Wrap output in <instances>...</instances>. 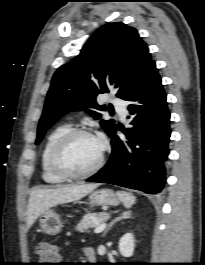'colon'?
<instances>
[{
    "mask_svg": "<svg viewBox=\"0 0 205 265\" xmlns=\"http://www.w3.org/2000/svg\"><path fill=\"white\" fill-rule=\"evenodd\" d=\"M36 255L39 260V265H57L60 258L59 249L46 241L40 242L36 246Z\"/></svg>",
    "mask_w": 205,
    "mask_h": 265,
    "instance_id": "1",
    "label": "colon"
}]
</instances>
